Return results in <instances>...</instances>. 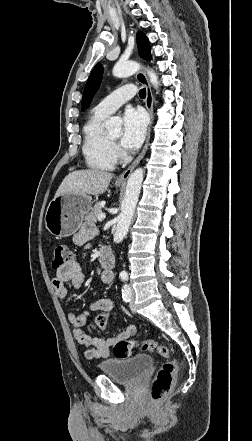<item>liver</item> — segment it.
Wrapping results in <instances>:
<instances>
[{
  "instance_id": "liver-1",
  "label": "liver",
  "mask_w": 252,
  "mask_h": 441,
  "mask_svg": "<svg viewBox=\"0 0 252 441\" xmlns=\"http://www.w3.org/2000/svg\"><path fill=\"white\" fill-rule=\"evenodd\" d=\"M113 176L110 172L96 169L73 171L64 178L55 196L64 194H103Z\"/></svg>"
}]
</instances>
